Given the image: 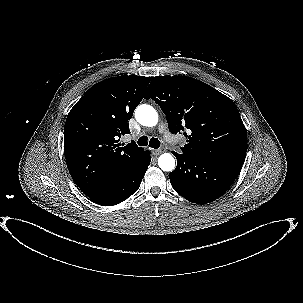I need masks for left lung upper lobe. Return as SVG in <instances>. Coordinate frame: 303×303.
<instances>
[{"instance_id": "1", "label": "left lung upper lobe", "mask_w": 303, "mask_h": 303, "mask_svg": "<svg viewBox=\"0 0 303 303\" xmlns=\"http://www.w3.org/2000/svg\"><path fill=\"white\" fill-rule=\"evenodd\" d=\"M166 115L169 129H188L182 154L244 162L247 130L234 102L211 86L185 76H158L144 95Z\"/></svg>"}]
</instances>
